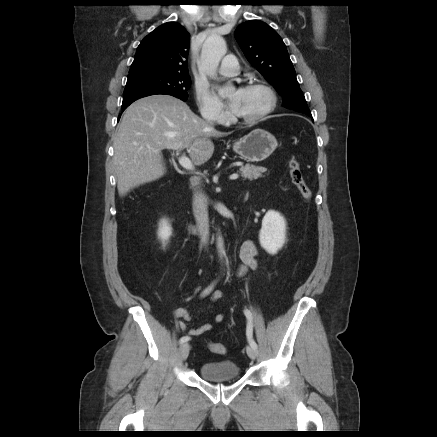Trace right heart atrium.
Returning a JSON list of instances; mask_svg holds the SVG:
<instances>
[{
	"instance_id": "d8ad5b80",
	"label": "right heart atrium",
	"mask_w": 437,
	"mask_h": 437,
	"mask_svg": "<svg viewBox=\"0 0 437 437\" xmlns=\"http://www.w3.org/2000/svg\"><path fill=\"white\" fill-rule=\"evenodd\" d=\"M195 96L202 117L213 121H221L225 118L226 110L223 103L207 88L197 86Z\"/></svg>"
}]
</instances>
